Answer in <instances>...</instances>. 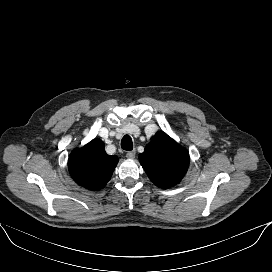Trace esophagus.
Instances as JSON below:
<instances>
[{
  "label": "esophagus",
  "mask_w": 272,
  "mask_h": 272,
  "mask_svg": "<svg viewBox=\"0 0 272 272\" xmlns=\"http://www.w3.org/2000/svg\"><path fill=\"white\" fill-rule=\"evenodd\" d=\"M126 157L128 159H134L135 158V150L127 152Z\"/></svg>",
  "instance_id": "obj_1"
}]
</instances>
